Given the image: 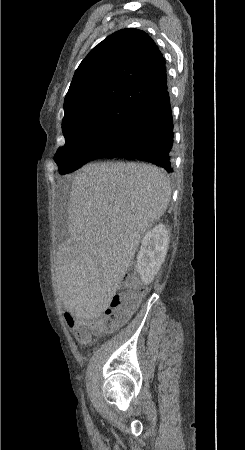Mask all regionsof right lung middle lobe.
<instances>
[{
  "label": "right lung middle lobe",
  "instance_id": "right-lung-middle-lobe-1",
  "mask_svg": "<svg viewBox=\"0 0 245 450\" xmlns=\"http://www.w3.org/2000/svg\"><path fill=\"white\" fill-rule=\"evenodd\" d=\"M137 110L115 103H101L82 108L64 117L62 131L65 145L54 161L61 174L70 173L105 152L118 142Z\"/></svg>",
  "mask_w": 245,
  "mask_h": 450
}]
</instances>
